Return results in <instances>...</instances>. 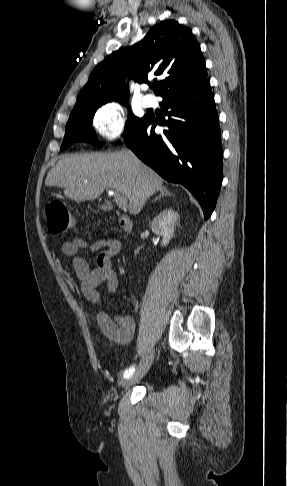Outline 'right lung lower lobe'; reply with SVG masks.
<instances>
[{
    "instance_id": "98d812e1",
    "label": "right lung lower lobe",
    "mask_w": 287,
    "mask_h": 486,
    "mask_svg": "<svg viewBox=\"0 0 287 486\" xmlns=\"http://www.w3.org/2000/svg\"><path fill=\"white\" fill-rule=\"evenodd\" d=\"M164 114L155 134L156 118L149 114L125 144L159 175L184 185L199 201L204 218L212 214L222 183V146L218 114L210 79L161 96Z\"/></svg>"
}]
</instances>
